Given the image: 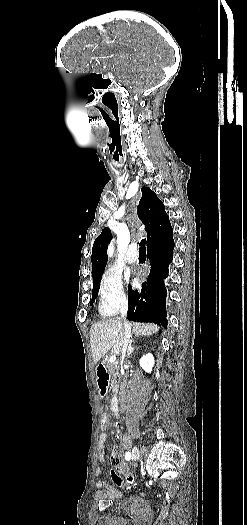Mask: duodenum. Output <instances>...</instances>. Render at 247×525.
<instances>
[{"label":"duodenum","mask_w":247,"mask_h":525,"mask_svg":"<svg viewBox=\"0 0 247 525\" xmlns=\"http://www.w3.org/2000/svg\"><path fill=\"white\" fill-rule=\"evenodd\" d=\"M96 380L102 394H105L109 386V373L107 366L103 363L99 364L96 368ZM111 410L116 413L119 410V400L116 396L111 399L110 402Z\"/></svg>","instance_id":"duodenum-1"}]
</instances>
